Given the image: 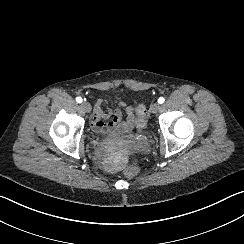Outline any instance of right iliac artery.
Masks as SVG:
<instances>
[{
  "mask_svg": "<svg viewBox=\"0 0 244 244\" xmlns=\"http://www.w3.org/2000/svg\"><path fill=\"white\" fill-rule=\"evenodd\" d=\"M76 101H77L78 103H81V102H82V98H81V97H77V98H76Z\"/></svg>",
  "mask_w": 244,
  "mask_h": 244,
  "instance_id": "1",
  "label": "right iliac artery"
}]
</instances>
